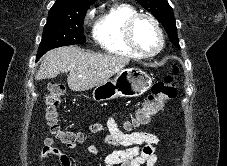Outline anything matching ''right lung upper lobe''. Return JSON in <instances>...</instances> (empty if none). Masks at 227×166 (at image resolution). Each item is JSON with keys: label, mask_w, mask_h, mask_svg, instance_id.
Returning a JSON list of instances; mask_svg holds the SVG:
<instances>
[{"label": "right lung upper lobe", "mask_w": 227, "mask_h": 166, "mask_svg": "<svg viewBox=\"0 0 227 166\" xmlns=\"http://www.w3.org/2000/svg\"><path fill=\"white\" fill-rule=\"evenodd\" d=\"M96 0H56L49 12H76L88 9Z\"/></svg>", "instance_id": "cb5924a9"}]
</instances>
